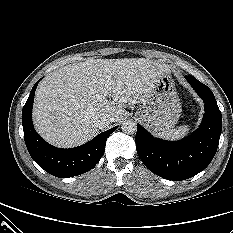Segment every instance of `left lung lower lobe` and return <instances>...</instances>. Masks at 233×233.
I'll return each instance as SVG.
<instances>
[{
  "instance_id": "obj_1",
  "label": "left lung lower lobe",
  "mask_w": 233,
  "mask_h": 233,
  "mask_svg": "<svg viewBox=\"0 0 233 233\" xmlns=\"http://www.w3.org/2000/svg\"><path fill=\"white\" fill-rule=\"evenodd\" d=\"M186 79L205 103L200 127L182 140L165 141L154 138L137 124L135 137L137 153L145 166L154 174L174 181L191 178L210 164L222 130V115L212 91L194 76Z\"/></svg>"
}]
</instances>
